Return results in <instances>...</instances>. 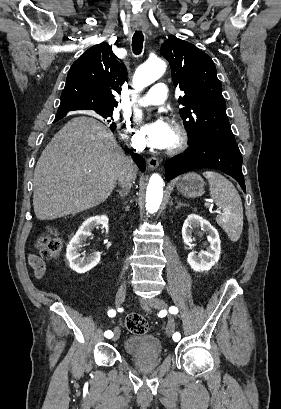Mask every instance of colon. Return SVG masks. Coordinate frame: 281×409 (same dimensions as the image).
Masks as SVG:
<instances>
[{
  "label": "colon",
  "instance_id": "colon-1",
  "mask_svg": "<svg viewBox=\"0 0 281 409\" xmlns=\"http://www.w3.org/2000/svg\"><path fill=\"white\" fill-rule=\"evenodd\" d=\"M61 245V240L57 237V230L54 227H47L38 238V255H44L45 259H53L58 256ZM125 324L130 331L136 334H143L148 329L147 321L138 312L128 315Z\"/></svg>",
  "mask_w": 281,
  "mask_h": 409
}]
</instances>
